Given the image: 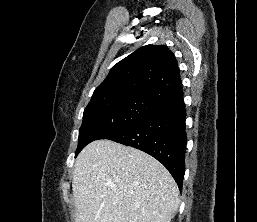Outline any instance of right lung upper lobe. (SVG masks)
<instances>
[{"instance_id": "obj_1", "label": "right lung upper lobe", "mask_w": 257, "mask_h": 222, "mask_svg": "<svg viewBox=\"0 0 257 222\" xmlns=\"http://www.w3.org/2000/svg\"><path fill=\"white\" fill-rule=\"evenodd\" d=\"M177 61L164 45H146L118 62L91 101L145 98L159 105L183 96Z\"/></svg>"}]
</instances>
